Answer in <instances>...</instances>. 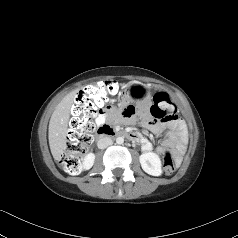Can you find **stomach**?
I'll list each match as a JSON object with an SVG mask.
<instances>
[{"mask_svg": "<svg viewBox=\"0 0 238 238\" xmlns=\"http://www.w3.org/2000/svg\"><path fill=\"white\" fill-rule=\"evenodd\" d=\"M129 93L133 97H149L150 93L144 85H134L129 87Z\"/></svg>", "mask_w": 238, "mask_h": 238, "instance_id": "0dacf381", "label": "stomach"}]
</instances>
